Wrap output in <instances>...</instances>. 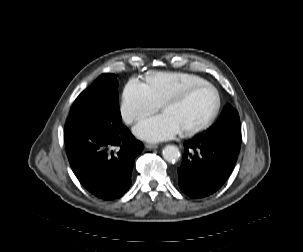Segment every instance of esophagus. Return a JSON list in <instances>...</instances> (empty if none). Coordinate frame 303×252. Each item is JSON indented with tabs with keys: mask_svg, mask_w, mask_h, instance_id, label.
I'll list each match as a JSON object with an SVG mask.
<instances>
[{
	"mask_svg": "<svg viewBox=\"0 0 303 252\" xmlns=\"http://www.w3.org/2000/svg\"><path fill=\"white\" fill-rule=\"evenodd\" d=\"M145 148H147L149 150H155L158 148V144L146 143Z\"/></svg>",
	"mask_w": 303,
	"mask_h": 252,
	"instance_id": "esophagus-1",
	"label": "esophagus"
}]
</instances>
